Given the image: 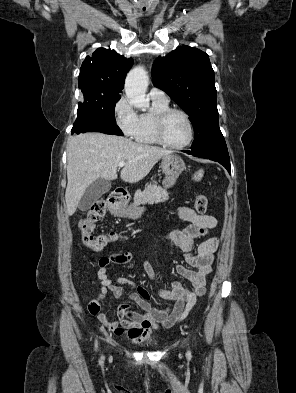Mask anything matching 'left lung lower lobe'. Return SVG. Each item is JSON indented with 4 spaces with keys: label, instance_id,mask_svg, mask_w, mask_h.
<instances>
[{
    "label": "left lung lower lobe",
    "instance_id": "0a47b994",
    "mask_svg": "<svg viewBox=\"0 0 296 393\" xmlns=\"http://www.w3.org/2000/svg\"><path fill=\"white\" fill-rule=\"evenodd\" d=\"M188 154H192L196 157L207 158L213 161H217L222 164L227 171L231 174L230 158L226 147H215L200 151H184Z\"/></svg>",
    "mask_w": 296,
    "mask_h": 393
}]
</instances>
